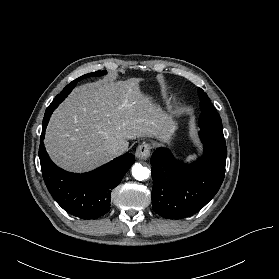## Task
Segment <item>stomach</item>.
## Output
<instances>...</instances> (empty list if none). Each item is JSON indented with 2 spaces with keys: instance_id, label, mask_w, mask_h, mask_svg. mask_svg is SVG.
Here are the masks:
<instances>
[{
  "instance_id": "1",
  "label": "stomach",
  "mask_w": 279,
  "mask_h": 279,
  "mask_svg": "<svg viewBox=\"0 0 279 279\" xmlns=\"http://www.w3.org/2000/svg\"><path fill=\"white\" fill-rule=\"evenodd\" d=\"M176 130V123L174 122V120L170 117L165 118L164 121V131L162 133V138L165 141H169L171 136L173 135V133Z\"/></svg>"
}]
</instances>
